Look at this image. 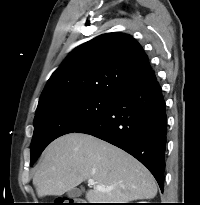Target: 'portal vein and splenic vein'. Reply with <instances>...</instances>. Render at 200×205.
I'll return each mask as SVG.
<instances>
[{"label":"portal vein and splenic vein","instance_id":"1","mask_svg":"<svg viewBox=\"0 0 200 205\" xmlns=\"http://www.w3.org/2000/svg\"><path fill=\"white\" fill-rule=\"evenodd\" d=\"M88 185L89 186H94V188H96L97 190H100V191H108V190H111V187H105L101 184H97L93 179H89L88 180Z\"/></svg>","mask_w":200,"mask_h":205}]
</instances>
